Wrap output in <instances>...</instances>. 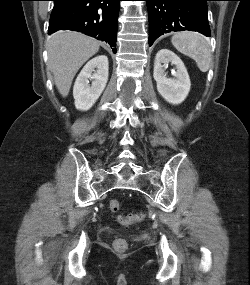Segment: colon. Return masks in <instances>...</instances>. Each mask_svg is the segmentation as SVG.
Segmentation results:
<instances>
[{
	"label": "colon",
	"instance_id": "1",
	"mask_svg": "<svg viewBox=\"0 0 250 285\" xmlns=\"http://www.w3.org/2000/svg\"><path fill=\"white\" fill-rule=\"evenodd\" d=\"M120 208V203L117 200H111L109 203V209L111 212H117ZM142 216L140 214H128V215H119L117 217L118 222L123 226H130L132 224L140 222ZM113 246L116 251L124 252L128 247V243L124 238H117L113 242Z\"/></svg>",
	"mask_w": 250,
	"mask_h": 285
}]
</instances>
